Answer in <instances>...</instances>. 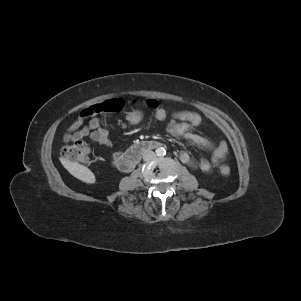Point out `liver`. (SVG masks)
<instances>
[{"instance_id": "6515ba94", "label": "liver", "mask_w": 301, "mask_h": 301, "mask_svg": "<svg viewBox=\"0 0 301 301\" xmlns=\"http://www.w3.org/2000/svg\"><path fill=\"white\" fill-rule=\"evenodd\" d=\"M60 161L62 165L65 167V169H67L68 172L72 174L74 177L78 178L79 180L85 183H89V184L95 183V175L87 167L76 162H71L64 158H60Z\"/></svg>"}]
</instances>
